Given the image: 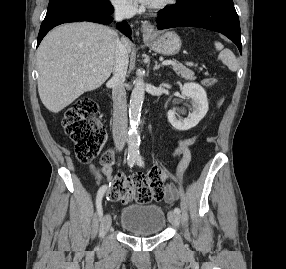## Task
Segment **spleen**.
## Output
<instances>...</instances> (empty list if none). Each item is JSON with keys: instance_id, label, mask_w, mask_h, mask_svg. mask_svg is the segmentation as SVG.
Listing matches in <instances>:
<instances>
[{"instance_id": "3e777b00", "label": "spleen", "mask_w": 286, "mask_h": 269, "mask_svg": "<svg viewBox=\"0 0 286 269\" xmlns=\"http://www.w3.org/2000/svg\"><path fill=\"white\" fill-rule=\"evenodd\" d=\"M215 47L220 51L218 58L228 66V68L235 72L238 69V64L235 55L229 49H224V46L220 42H215Z\"/></svg>"}]
</instances>
